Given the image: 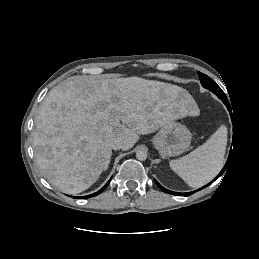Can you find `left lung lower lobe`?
I'll list each match as a JSON object with an SVG mask.
<instances>
[{
    "instance_id": "0a47b994",
    "label": "left lung lower lobe",
    "mask_w": 259,
    "mask_h": 259,
    "mask_svg": "<svg viewBox=\"0 0 259 259\" xmlns=\"http://www.w3.org/2000/svg\"><path fill=\"white\" fill-rule=\"evenodd\" d=\"M222 101L223 103L227 106V108L229 109L230 105H229V102H228V99L226 98V95L224 93H218L216 94ZM229 159H230V156L227 160V163L225 164L224 168L222 169V171L219 173V175L212 181L210 182L209 184L205 185L204 187L200 188L199 190L205 188L206 186L212 184L218 177H220L223 172L225 171L227 165H228V162H229ZM155 183L157 184V186L164 192L168 193V194H173V195H178V196H188V195H191L193 193H195L196 191H193V192H189V193H178V192H173V191H170V190H167L165 188H163L156 180H155Z\"/></svg>"
}]
</instances>
